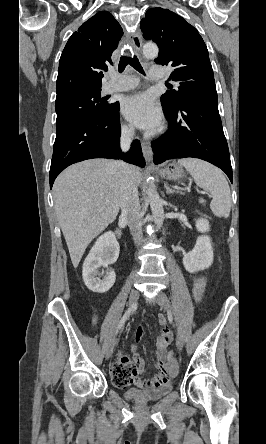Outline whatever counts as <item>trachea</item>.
Returning <instances> with one entry per match:
<instances>
[{
  "instance_id": "1",
  "label": "trachea",
  "mask_w": 266,
  "mask_h": 444,
  "mask_svg": "<svg viewBox=\"0 0 266 444\" xmlns=\"http://www.w3.org/2000/svg\"><path fill=\"white\" fill-rule=\"evenodd\" d=\"M127 65H131L141 74L145 75L143 67L141 66L138 58L136 56L132 57L130 51H125L124 55L120 58L118 70L123 72Z\"/></svg>"
}]
</instances>
